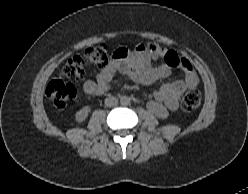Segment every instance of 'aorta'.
<instances>
[{
    "label": "aorta",
    "mask_w": 248,
    "mask_h": 194,
    "mask_svg": "<svg viewBox=\"0 0 248 194\" xmlns=\"http://www.w3.org/2000/svg\"><path fill=\"white\" fill-rule=\"evenodd\" d=\"M120 103H121V105L126 106V105L130 104V98L128 96H122L120 98Z\"/></svg>",
    "instance_id": "762f6f07"
}]
</instances>
